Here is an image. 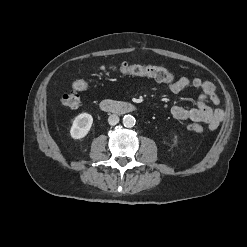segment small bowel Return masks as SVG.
I'll use <instances>...</instances> for the list:
<instances>
[{"mask_svg": "<svg viewBox=\"0 0 247 247\" xmlns=\"http://www.w3.org/2000/svg\"><path fill=\"white\" fill-rule=\"evenodd\" d=\"M189 87L198 89L200 92L196 106H173L171 108L172 117L177 120H189L194 123L205 124L209 130H215L224 118L223 110L218 107L220 100L216 94L215 86L210 81L188 77H181L168 84L169 90L174 94ZM209 102L215 107H210Z\"/></svg>", "mask_w": 247, "mask_h": 247, "instance_id": "c3829d8e", "label": "small bowel"}]
</instances>
